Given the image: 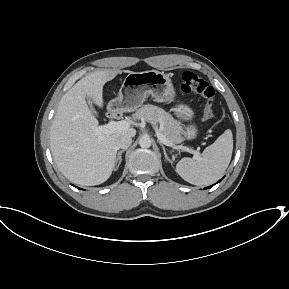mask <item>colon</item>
<instances>
[{
  "mask_svg": "<svg viewBox=\"0 0 289 289\" xmlns=\"http://www.w3.org/2000/svg\"><path fill=\"white\" fill-rule=\"evenodd\" d=\"M180 88L185 94H196L205 99V109L203 112L202 121L204 123L210 122L214 117L213 87L201 75L191 71H185L181 76Z\"/></svg>",
  "mask_w": 289,
  "mask_h": 289,
  "instance_id": "colon-1",
  "label": "colon"
}]
</instances>
